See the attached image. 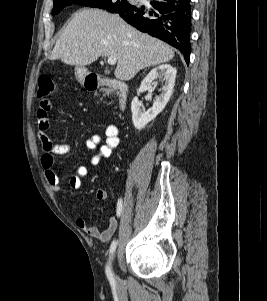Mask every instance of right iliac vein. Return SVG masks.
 Masks as SVG:
<instances>
[{
    "label": "right iliac vein",
    "instance_id": "obj_1",
    "mask_svg": "<svg viewBox=\"0 0 267 301\" xmlns=\"http://www.w3.org/2000/svg\"><path fill=\"white\" fill-rule=\"evenodd\" d=\"M114 259H115V253H113V254L111 255V258H110L111 263H113Z\"/></svg>",
    "mask_w": 267,
    "mask_h": 301
}]
</instances>
